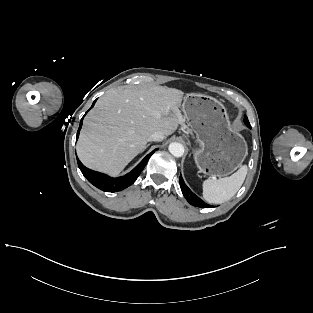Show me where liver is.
Listing matches in <instances>:
<instances>
[{
    "instance_id": "1",
    "label": "liver",
    "mask_w": 313,
    "mask_h": 313,
    "mask_svg": "<svg viewBox=\"0 0 313 313\" xmlns=\"http://www.w3.org/2000/svg\"><path fill=\"white\" fill-rule=\"evenodd\" d=\"M183 94L163 86L108 90L84 119L76 147L79 159L93 170L119 174L153 132L166 137L184 122L179 110Z\"/></svg>"
}]
</instances>
